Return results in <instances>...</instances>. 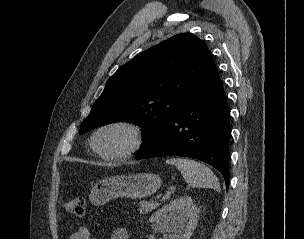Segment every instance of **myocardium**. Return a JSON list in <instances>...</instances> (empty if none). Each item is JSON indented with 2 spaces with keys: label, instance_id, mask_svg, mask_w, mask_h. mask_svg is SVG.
Here are the masks:
<instances>
[{
  "label": "myocardium",
  "instance_id": "myocardium-1",
  "mask_svg": "<svg viewBox=\"0 0 304 239\" xmlns=\"http://www.w3.org/2000/svg\"><path fill=\"white\" fill-rule=\"evenodd\" d=\"M112 128H121L128 132L130 142L126 148L115 153H105L97 145L98 136L105 130ZM144 132L142 127L134 121L126 119H117L106 122L99 126L91 137V147L93 151L103 159L111 161H120L134 155L143 145Z\"/></svg>",
  "mask_w": 304,
  "mask_h": 239
}]
</instances>
